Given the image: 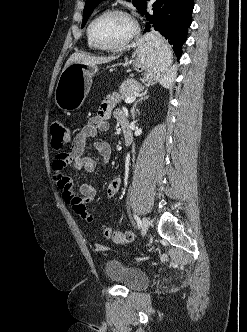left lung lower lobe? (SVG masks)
I'll return each instance as SVG.
<instances>
[{
  "instance_id": "1",
  "label": "left lung lower lobe",
  "mask_w": 247,
  "mask_h": 332,
  "mask_svg": "<svg viewBox=\"0 0 247 332\" xmlns=\"http://www.w3.org/2000/svg\"><path fill=\"white\" fill-rule=\"evenodd\" d=\"M153 14L147 12V1L142 9L148 22L145 32L154 29L168 39L178 57L187 39V31L192 23L193 0H156L152 5Z\"/></svg>"
}]
</instances>
